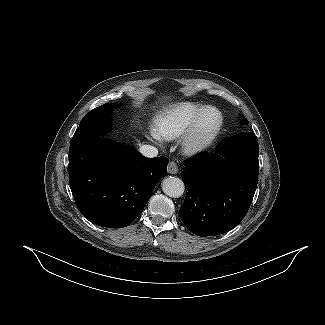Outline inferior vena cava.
I'll return each instance as SVG.
<instances>
[{"label":"inferior vena cava","mask_w":325,"mask_h":325,"mask_svg":"<svg viewBox=\"0 0 325 325\" xmlns=\"http://www.w3.org/2000/svg\"><path fill=\"white\" fill-rule=\"evenodd\" d=\"M140 153L149 158L156 157L158 155V150L154 146L151 145H141L140 148Z\"/></svg>","instance_id":"1"}]
</instances>
